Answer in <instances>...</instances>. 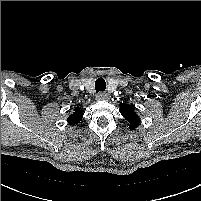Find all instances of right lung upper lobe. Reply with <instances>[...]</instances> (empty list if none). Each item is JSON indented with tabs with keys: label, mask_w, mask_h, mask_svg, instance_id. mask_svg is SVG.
Listing matches in <instances>:
<instances>
[{
	"label": "right lung upper lobe",
	"mask_w": 201,
	"mask_h": 201,
	"mask_svg": "<svg viewBox=\"0 0 201 201\" xmlns=\"http://www.w3.org/2000/svg\"><path fill=\"white\" fill-rule=\"evenodd\" d=\"M83 117V113H81L80 109L77 107L75 112L67 118V122L71 125L78 124Z\"/></svg>",
	"instance_id": "cb5924a9"
}]
</instances>
